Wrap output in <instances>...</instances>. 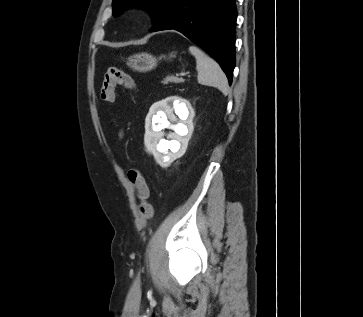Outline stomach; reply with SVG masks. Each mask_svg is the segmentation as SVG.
Returning a JSON list of instances; mask_svg holds the SVG:
<instances>
[{"instance_id": "1", "label": "stomach", "mask_w": 363, "mask_h": 317, "mask_svg": "<svg viewBox=\"0 0 363 317\" xmlns=\"http://www.w3.org/2000/svg\"><path fill=\"white\" fill-rule=\"evenodd\" d=\"M157 59L148 53L135 54L128 58L127 65L135 71L147 72L154 69L157 65Z\"/></svg>"}]
</instances>
